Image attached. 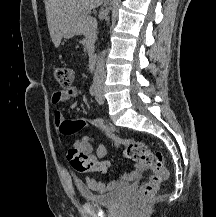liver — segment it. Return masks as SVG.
<instances>
[{
  "label": "liver",
  "mask_w": 216,
  "mask_h": 217,
  "mask_svg": "<svg viewBox=\"0 0 216 217\" xmlns=\"http://www.w3.org/2000/svg\"><path fill=\"white\" fill-rule=\"evenodd\" d=\"M52 42L59 47L66 31L75 24L83 10L99 7L103 0H44Z\"/></svg>",
  "instance_id": "obj_1"
}]
</instances>
